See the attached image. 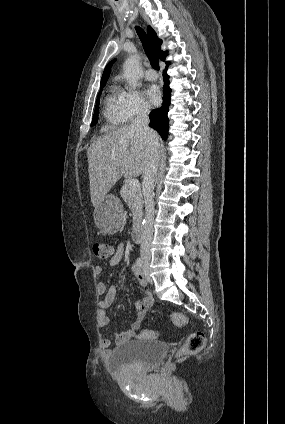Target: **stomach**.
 Returning <instances> with one entry per match:
<instances>
[{
	"mask_svg": "<svg viewBox=\"0 0 285 424\" xmlns=\"http://www.w3.org/2000/svg\"><path fill=\"white\" fill-rule=\"evenodd\" d=\"M93 217L96 226L102 232L108 234L117 232L123 217L121 200L115 195H106L95 207Z\"/></svg>",
	"mask_w": 285,
	"mask_h": 424,
	"instance_id": "obj_1",
	"label": "stomach"
}]
</instances>
